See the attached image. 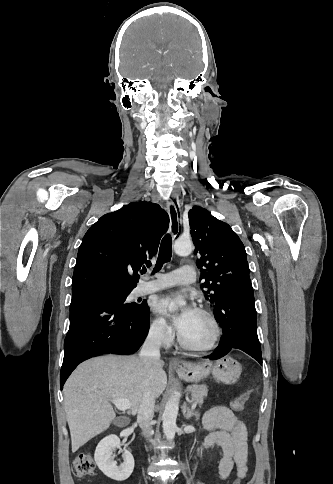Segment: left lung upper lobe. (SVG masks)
<instances>
[{"mask_svg":"<svg viewBox=\"0 0 333 484\" xmlns=\"http://www.w3.org/2000/svg\"><path fill=\"white\" fill-rule=\"evenodd\" d=\"M188 218L200 256L197 263L203 281L201 288L206 299L215 306L226 283L249 275L245 247L227 223L216 219L206 209L194 206Z\"/></svg>","mask_w":333,"mask_h":484,"instance_id":"obj_1","label":"left lung upper lobe"}]
</instances>
